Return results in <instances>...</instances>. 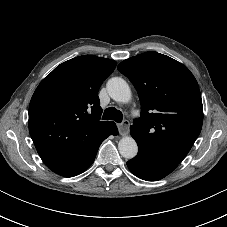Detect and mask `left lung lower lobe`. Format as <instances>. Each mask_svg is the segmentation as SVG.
Here are the masks:
<instances>
[{"instance_id":"obj_1","label":"left lung lower lobe","mask_w":227,"mask_h":227,"mask_svg":"<svg viewBox=\"0 0 227 227\" xmlns=\"http://www.w3.org/2000/svg\"><path fill=\"white\" fill-rule=\"evenodd\" d=\"M127 166L140 179L157 181L174 171L178 164L164 162L143 151H139L136 157L127 162Z\"/></svg>"}]
</instances>
